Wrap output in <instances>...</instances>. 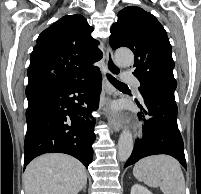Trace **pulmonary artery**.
I'll use <instances>...</instances> for the list:
<instances>
[{
	"instance_id": "1",
	"label": "pulmonary artery",
	"mask_w": 201,
	"mask_h": 194,
	"mask_svg": "<svg viewBox=\"0 0 201 194\" xmlns=\"http://www.w3.org/2000/svg\"><path fill=\"white\" fill-rule=\"evenodd\" d=\"M121 80L124 83L133 85L137 90L140 87V83H139L138 79L131 72H123L121 74Z\"/></svg>"
}]
</instances>
